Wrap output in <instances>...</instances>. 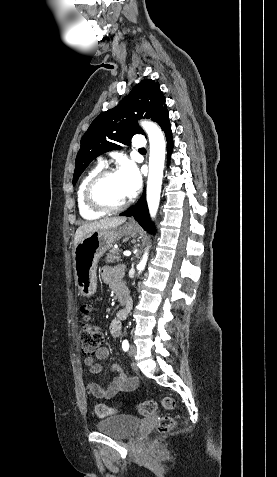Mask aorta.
I'll return each mask as SVG.
<instances>
[{"instance_id": "762f6f07", "label": "aorta", "mask_w": 277, "mask_h": 477, "mask_svg": "<svg viewBox=\"0 0 277 477\" xmlns=\"http://www.w3.org/2000/svg\"><path fill=\"white\" fill-rule=\"evenodd\" d=\"M141 126L146 131L150 143L149 175L147 180L146 199L150 215L152 218H155L160 202L166 143L164 134L157 124L143 121L141 122ZM147 259L148 253L145 252L142 260L137 266L139 272L144 270Z\"/></svg>"}]
</instances>
